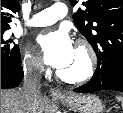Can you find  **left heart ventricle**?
Here are the masks:
<instances>
[{"label": "left heart ventricle", "instance_id": "left-heart-ventricle-1", "mask_svg": "<svg viewBox=\"0 0 123 113\" xmlns=\"http://www.w3.org/2000/svg\"><path fill=\"white\" fill-rule=\"evenodd\" d=\"M84 68L85 57L80 51L75 49L71 61L63 68H61L60 71L66 75H77L81 73Z\"/></svg>", "mask_w": 123, "mask_h": 113}]
</instances>
